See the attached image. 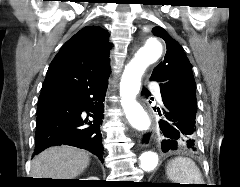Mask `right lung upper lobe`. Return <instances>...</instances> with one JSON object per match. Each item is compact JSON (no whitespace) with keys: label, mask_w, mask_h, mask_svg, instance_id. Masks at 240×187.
<instances>
[{"label":"right lung upper lobe","mask_w":240,"mask_h":187,"mask_svg":"<svg viewBox=\"0 0 240 187\" xmlns=\"http://www.w3.org/2000/svg\"><path fill=\"white\" fill-rule=\"evenodd\" d=\"M108 33L86 26L69 39L51 62L39 100L83 88L110 75Z\"/></svg>","instance_id":"1"}]
</instances>
